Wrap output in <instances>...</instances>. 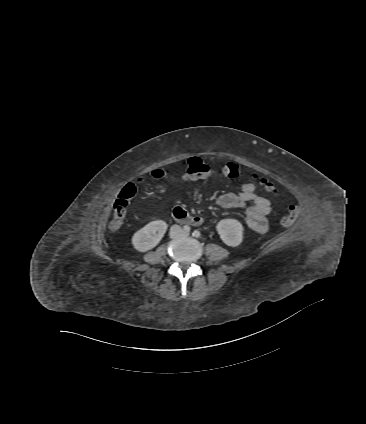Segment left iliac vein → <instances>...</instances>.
Here are the masks:
<instances>
[{"label": "left iliac vein", "instance_id": "left-iliac-vein-1", "mask_svg": "<svg viewBox=\"0 0 366 424\" xmlns=\"http://www.w3.org/2000/svg\"><path fill=\"white\" fill-rule=\"evenodd\" d=\"M184 235H185V236H188V235H189V233H186V232H185V233H184Z\"/></svg>", "mask_w": 366, "mask_h": 424}]
</instances>
